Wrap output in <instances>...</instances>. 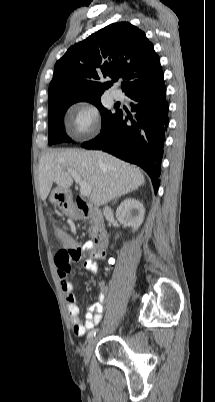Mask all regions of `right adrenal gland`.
Here are the masks:
<instances>
[{"label": "right adrenal gland", "mask_w": 215, "mask_h": 402, "mask_svg": "<svg viewBox=\"0 0 215 402\" xmlns=\"http://www.w3.org/2000/svg\"><path fill=\"white\" fill-rule=\"evenodd\" d=\"M118 198H115V200L113 201V204H115L117 202Z\"/></svg>", "instance_id": "1"}]
</instances>
